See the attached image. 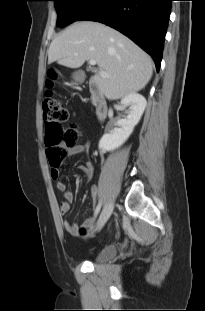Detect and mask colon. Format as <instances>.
<instances>
[{
    "instance_id": "1",
    "label": "colon",
    "mask_w": 205,
    "mask_h": 311,
    "mask_svg": "<svg viewBox=\"0 0 205 311\" xmlns=\"http://www.w3.org/2000/svg\"><path fill=\"white\" fill-rule=\"evenodd\" d=\"M60 74L56 69L47 71V94L42 101L43 120L45 124L44 143L47 147V157L54 172L68 157L70 149L78 145L79 132L76 126H65L69 114L65 106L56 97L53 88ZM88 229L80 228L78 235L86 236Z\"/></svg>"
}]
</instances>
